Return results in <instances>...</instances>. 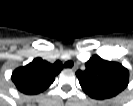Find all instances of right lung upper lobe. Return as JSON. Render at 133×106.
I'll return each instance as SVG.
<instances>
[{"label":"right lung upper lobe","instance_id":"obj_1","mask_svg":"<svg viewBox=\"0 0 133 106\" xmlns=\"http://www.w3.org/2000/svg\"><path fill=\"white\" fill-rule=\"evenodd\" d=\"M62 69L60 61L51 64L38 57L26 66L15 69L11 78L20 92L34 95L46 90Z\"/></svg>","mask_w":133,"mask_h":106}]
</instances>
